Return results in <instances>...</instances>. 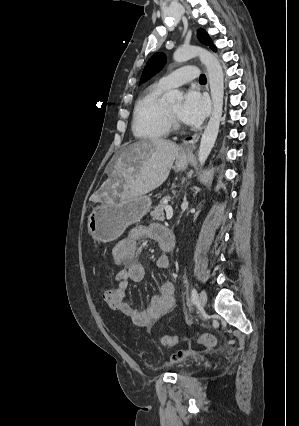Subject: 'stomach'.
<instances>
[{
  "mask_svg": "<svg viewBox=\"0 0 299 426\" xmlns=\"http://www.w3.org/2000/svg\"><path fill=\"white\" fill-rule=\"evenodd\" d=\"M190 162L189 155L180 153L175 170H185ZM150 195H139L119 201L106 202L93 209L88 217V231L98 242L107 243L120 237L125 229L141 220L151 209Z\"/></svg>",
  "mask_w": 299,
  "mask_h": 426,
  "instance_id": "1",
  "label": "stomach"
}]
</instances>
